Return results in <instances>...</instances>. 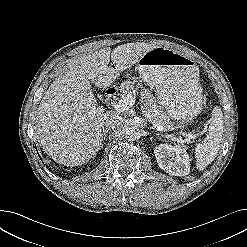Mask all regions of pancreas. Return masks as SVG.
<instances>
[{
	"mask_svg": "<svg viewBox=\"0 0 247 247\" xmlns=\"http://www.w3.org/2000/svg\"><path fill=\"white\" fill-rule=\"evenodd\" d=\"M122 97L127 95H140V107L143 116L148 119L150 116L151 119L155 120L158 124L163 126L165 130H171L172 123L166 113L163 111L161 106L156 104V99L142 83L137 80L131 81L130 79L121 84Z\"/></svg>",
	"mask_w": 247,
	"mask_h": 247,
	"instance_id": "obj_1",
	"label": "pancreas"
}]
</instances>
